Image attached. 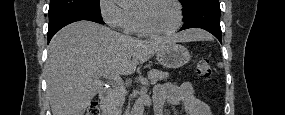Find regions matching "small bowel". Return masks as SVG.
<instances>
[{"mask_svg":"<svg viewBox=\"0 0 285 115\" xmlns=\"http://www.w3.org/2000/svg\"><path fill=\"white\" fill-rule=\"evenodd\" d=\"M182 104L188 115H212L209 106L198 99L190 82L177 84L169 82L158 86L154 93L156 115L167 114L165 106Z\"/></svg>","mask_w":285,"mask_h":115,"instance_id":"small-bowel-1","label":"small bowel"}]
</instances>
